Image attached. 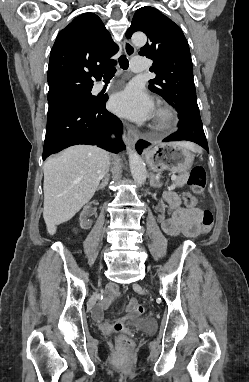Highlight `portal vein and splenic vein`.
<instances>
[{"label":"portal vein and splenic vein","mask_w":249,"mask_h":382,"mask_svg":"<svg viewBox=\"0 0 249 382\" xmlns=\"http://www.w3.org/2000/svg\"><path fill=\"white\" fill-rule=\"evenodd\" d=\"M175 179H176V175H172L171 180H175Z\"/></svg>","instance_id":"18ae733b"}]
</instances>
